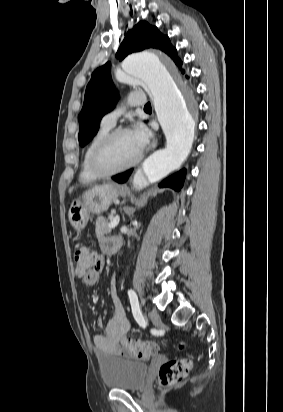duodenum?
Wrapping results in <instances>:
<instances>
[{
	"label": "duodenum",
	"instance_id": "obj_1",
	"mask_svg": "<svg viewBox=\"0 0 283 412\" xmlns=\"http://www.w3.org/2000/svg\"><path fill=\"white\" fill-rule=\"evenodd\" d=\"M121 242L119 239H117L115 242H113V244L111 245L110 251L112 253H116L119 248H120Z\"/></svg>",
	"mask_w": 283,
	"mask_h": 412
}]
</instances>
